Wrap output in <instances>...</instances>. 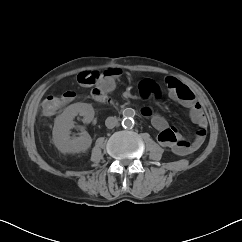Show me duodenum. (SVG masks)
<instances>
[{"label": "duodenum", "mask_w": 242, "mask_h": 242, "mask_svg": "<svg viewBox=\"0 0 242 242\" xmlns=\"http://www.w3.org/2000/svg\"><path fill=\"white\" fill-rule=\"evenodd\" d=\"M104 103L109 104V105H111V106H115V103L112 102V101H110V100H105V99H104Z\"/></svg>", "instance_id": "410a0bca"}]
</instances>
